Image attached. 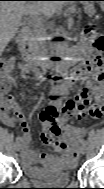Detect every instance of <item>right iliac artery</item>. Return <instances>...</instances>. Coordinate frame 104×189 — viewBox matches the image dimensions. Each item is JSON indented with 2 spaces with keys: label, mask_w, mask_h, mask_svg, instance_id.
Wrapping results in <instances>:
<instances>
[{
  "label": "right iliac artery",
  "mask_w": 104,
  "mask_h": 189,
  "mask_svg": "<svg viewBox=\"0 0 104 189\" xmlns=\"http://www.w3.org/2000/svg\"><path fill=\"white\" fill-rule=\"evenodd\" d=\"M16 140H17V142H18V141H19V138H17ZM17 142H16V143H17Z\"/></svg>",
  "instance_id": "obj_1"
}]
</instances>
